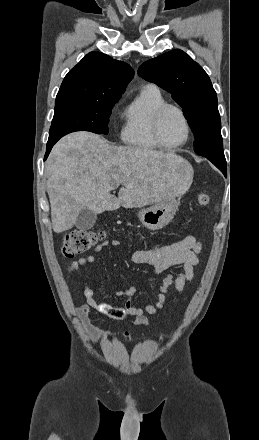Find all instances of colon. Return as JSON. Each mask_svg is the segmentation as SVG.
Listing matches in <instances>:
<instances>
[{"instance_id": "colon-1", "label": "colon", "mask_w": 259, "mask_h": 440, "mask_svg": "<svg viewBox=\"0 0 259 440\" xmlns=\"http://www.w3.org/2000/svg\"><path fill=\"white\" fill-rule=\"evenodd\" d=\"M197 201L200 206H207L210 197L207 192L202 191L197 195ZM105 235L101 231L92 230H73L68 233L63 241L62 254L65 257H73L77 254L88 251L98 242L104 239Z\"/></svg>"}]
</instances>
